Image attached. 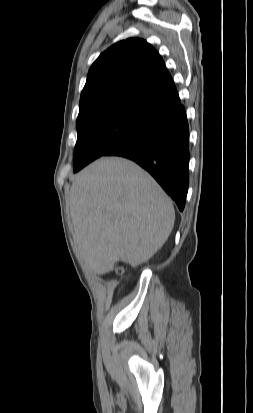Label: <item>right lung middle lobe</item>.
<instances>
[{
  "instance_id": "obj_1",
  "label": "right lung middle lobe",
  "mask_w": 253,
  "mask_h": 413,
  "mask_svg": "<svg viewBox=\"0 0 253 413\" xmlns=\"http://www.w3.org/2000/svg\"><path fill=\"white\" fill-rule=\"evenodd\" d=\"M154 115L132 108L113 107L77 118L74 172L148 126Z\"/></svg>"
}]
</instances>
